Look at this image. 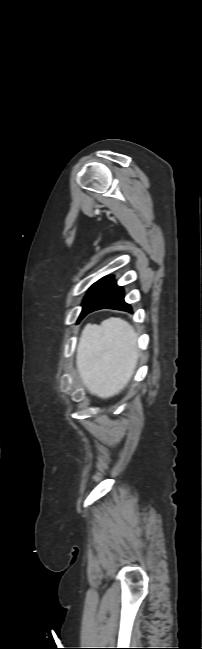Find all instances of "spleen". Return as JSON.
I'll use <instances>...</instances> for the list:
<instances>
[{"label": "spleen", "instance_id": "3e777b00", "mask_svg": "<svg viewBox=\"0 0 202 649\" xmlns=\"http://www.w3.org/2000/svg\"><path fill=\"white\" fill-rule=\"evenodd\" d=\"M136 341L134 329L120 318H109L101 326L84 329L76 365L91 393L106 398L127 384L137 365Z\"/></svg>", "mask_w": 202, "mask_h": 649}]
</instances>
